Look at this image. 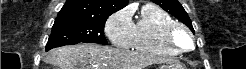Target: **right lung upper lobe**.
Wrapping results in <instances>:
<instances>
[{
    "label": "right lung upper lobe",
    "mask_w": 246,
    "mask_h": 69,
    "mask_svg": "<svg viewBox=\"0 0 246 69\" xmlns=\"http://www.w3.org/2000/svg\"><path fill=\"white\" fill-rule=\"evenodd\" d=\"M127 4L128 0H67L56 19H107Z\"/></svg>",
    "instance_id": "obj_1"
}]
</instances>
